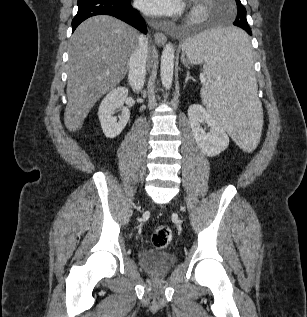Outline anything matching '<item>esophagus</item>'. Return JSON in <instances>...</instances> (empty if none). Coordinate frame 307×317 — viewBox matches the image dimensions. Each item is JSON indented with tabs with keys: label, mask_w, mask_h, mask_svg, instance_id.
Segmentation results:
<instances>
[{
	"label": "esophagus",
	"mask_w": 307,
	"mask_h": 317,
	"mask_svg": "<svg viewBox=\"0 0 307 317\" xmlns=\"http://www.w3.org/2000/svg\"><path fill=\"white\" fill-rule=\"evenodd\" d=\"M154 40L159 46H163L166 43L167 38L164 34H162L160 32H155L154 33Z\"/></svg>",
	"instance_id": "34e87169"
}]
</instances>
